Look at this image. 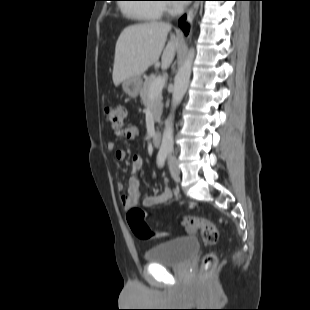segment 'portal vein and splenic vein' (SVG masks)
<instances>
[{"label":"portal vein and splenic vein","instance_id":"portal-vein-and-splenic-vein-1","mask_svg":"<svg viewBox=\"0 0 310 310\" xmlns=\"http://www.w3.org/2000/svg\"><path fill=\"white\" fill-rule=\"evenodd\" d=\"M164 84H165L164 78L162 77L156 78L150 87L149 96L154 97L155 95L160 93L163 89Z\"/></svg>","mask_w":310,"mask_h":310}]
</instances>
